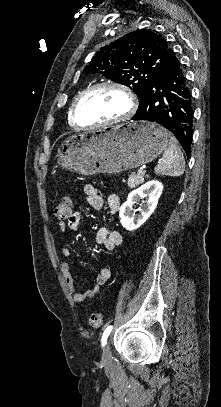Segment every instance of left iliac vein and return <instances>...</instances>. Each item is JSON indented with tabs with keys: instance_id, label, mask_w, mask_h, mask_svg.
I'll return each instance as SVG.
<instances>
[{
	"instance_id": "left-iliac-vein-1",
	"label": "left iliac vein",
	"mask_w": 221,
	"mask_h": 407,
	"mask_svg": "<svg viewBox=\"0 0 221 407\" xmlns=\"http://www.w3.org/2000/svg\"><path fill=\"white\" fill-rule=\"evenodd\" d=\"M110 358H111L110 343L106 342L103 352H102V360L108 361Z\"/></svg>"
}]
</instances>
